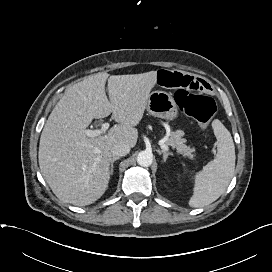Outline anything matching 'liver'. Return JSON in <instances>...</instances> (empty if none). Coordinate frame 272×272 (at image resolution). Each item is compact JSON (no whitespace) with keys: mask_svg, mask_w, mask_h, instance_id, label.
<instances>
[{"mask_svg":"<svg viewBox=\"0 0 272 272\" xmlns=\"http://www.w3.org/2000/svg\"><path fill=\"white\" fill-rule=\"evenodd\" d=\"M107 79L110 101L105 93ZM156 80V71L112 76L100 72L66 90L42 130L38 153L40 171L58 199L86 206L105 193L111 148L118 143L136 145L135 126L143 118ZM111 113L118 124L105 135H85L93 119Z\"/></svg>","mask_w":272,"mask_h":272,"instance_id":"1","label":"liver"}]
</instances>
